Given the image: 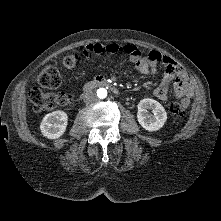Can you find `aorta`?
Segmentation results:
<instances>
[{
    "label": "aorta",
    "instance_id": "762f6f07",
    "mask_svg": "<svg viewBox=\"0 0 221 221\" xmlns=\"http://www.w3.org/2000/svg\"><path fill=\"white\" fill-rule=\"evenodd\" d=\"M97 97L100 99H104L107 97V90L105 88H99L97 90Z\"/></svg>",
    "mask_w": 221,
    "mask_h": 221
}]
</instances>
